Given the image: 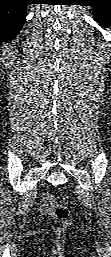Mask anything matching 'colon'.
Wrapping results in <instances>:
<instances>
[{
	"instance_id": "colon-1",
	"label": "colon",
	"mask_w": 111,
	"mask_h": 257,
	"mask_svg": "<svg viewBox=\"0 0 111 257\" xmlns=\"http://www.w3.org/2000/svg\"><path fill=\"white\" fill-rule=\"evenodd\" d=\"M43 204L46 209H48L50 212L54 213L58 217V219L62 223L63 229L71 224L72 214L70 210L64 206L59 205L52 194L46 193L44 195Z\"/></svg>"
}]
</instances>
